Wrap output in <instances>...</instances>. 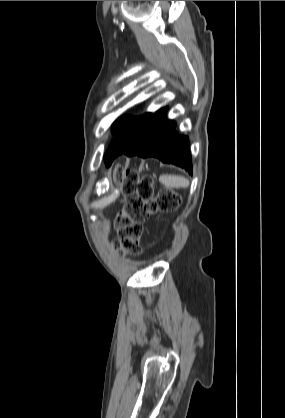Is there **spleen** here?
I'll use <instances>...</instances> for the list:
<instances>
[{"label":"spleen","mask_w":285,"mask_h":418,"mask_svg":"<svg viewBox=\"0 0 285 418\" xmlns=\"http://www.w3.org/2000/svg\"><path fill=\"white\" fill-rule=\"evenodd\" d=\"M159 181L169 188H187L190 184L188 179L178 175H162Z\"/></svg>","instance_id":"obj_1"}]
</instances>
